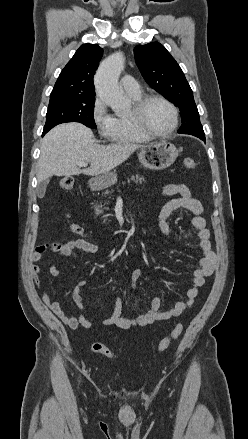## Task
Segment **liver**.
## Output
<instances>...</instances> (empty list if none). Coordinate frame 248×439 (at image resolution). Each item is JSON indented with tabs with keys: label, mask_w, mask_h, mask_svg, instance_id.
<instances>
[{
	"label": "liver",
	"mask_w": 248,
	"mask_h": 439,
	"mask_svg": "<svg viewBox=\"0 0 248 439\" xmlns=\"http://www.w3.org/2000/svg\"><path fill=\"white\" fill-rule=\"evenodd\" d=\"M140 147L129 142L99 145L88 127L64 123L50 130L42 140L37 180L81 173L98 176L126 161ZM78 162L90 163V167L81 170Z\"/></svg>",
	"instance_id": "liver-1"
}]
</instances>
